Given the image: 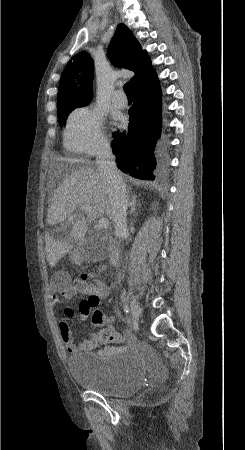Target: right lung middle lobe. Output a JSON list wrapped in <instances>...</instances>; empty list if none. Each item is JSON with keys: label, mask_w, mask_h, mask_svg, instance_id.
Masks as SVG:
<instances>
[{"label": "right lung middle lobe", "mask_w": 245, "mask_h": 450, "mask_svg": "<svg viewBox=\"0 0 245 450\" xmlns=\"http://www.w3.org/2000/svg\"><path fill=\"white\" fill-rule=\"evenodd\" d=\"M87 104H77V103H66L62 105H58V120L60 124H64L67 115L74 110L76 107H83Z\"/></svg>", "instance_id": "1"}]
</instances>
